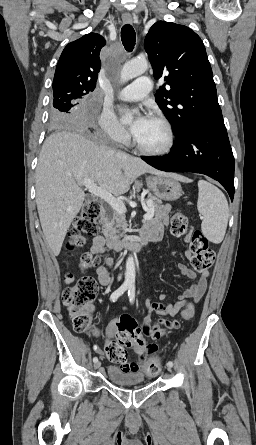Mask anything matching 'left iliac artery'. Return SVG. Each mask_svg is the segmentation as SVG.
<instances>
[{
    "mask_svg": "<svg viewBox=\"0 0 256 445\" xmlns=\"http://www.w3.org/2000/svg\"><path fill=\"white\" fill-rule=\"evenodd\" d=\"M128 297H129V301L131 303H133L134 300H135V286L134 285L129 286ZM167 365L172 367L173 366V362L172 361H168Z\"/></svg>",
    "mask_w": 256,
    "mask_h": 445,
    "instance_id": "left-iliac-artery-1",
    "label": "left iliac artery"
}]
</instances>
